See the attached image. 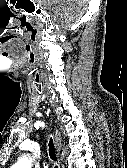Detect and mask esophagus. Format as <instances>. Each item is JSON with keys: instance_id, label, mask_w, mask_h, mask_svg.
<instances>
[{"instance_id": "esophagus-1", "label": "esophagus", "mask_w": 127, "mask_h": 168, "mask_svg": "<svg viewBox=\"0 0 127 168\" xmlns=\"http://www.w3.org/2000/svg\"><path fill=\"white\" fill-rule=\"evenodd\" d=\"M55 144L57 149L59 150L60 145H61V134L58 131V129L55 130Z\"/></svg>"}]
</instances>
